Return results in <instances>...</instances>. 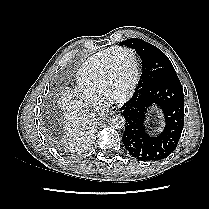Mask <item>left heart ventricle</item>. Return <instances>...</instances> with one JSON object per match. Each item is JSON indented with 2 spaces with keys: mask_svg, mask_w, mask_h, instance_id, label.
I'll use <instances>...</instances> for the list:
<instances>
[{
  "mask_svg": "<svg viewBox=\"0 0 209 209\" xmlns=\"http://www.w3.org/2000/svg\"><path fill=\"white\" fill-rule=\"evenodd\" d=\"M134 61L131 53L121 52L114 57L111 92L122 94L127 91L134 78Z\"/></svg>",
  "mask_w": 209,
  "mask_h": 209,
  "instance_id": "1",
  "label": "left heart ventricle"
}]
</instances>
